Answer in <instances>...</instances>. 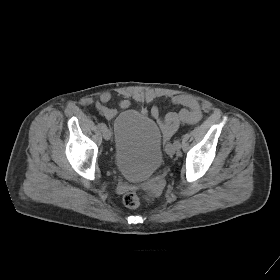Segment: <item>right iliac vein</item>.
Instances as JSON below:
<instances>
[{
	"mask_svg": "<svg viewBox=\"0 0 280 280\" xmlns=\"http://www.w3.org/2000/svg\"><path fill=\"white\" fill-rule=\"evenodd\" d=\"M102 134L105 140H109L111 138V132L107 128L102 130Z\"/></svg>",
	"mask_w": 280,
	"mask_h": 280,
	"instance_id": "obj_1",
	"label": "right iliac vein"
}]
</instances>
